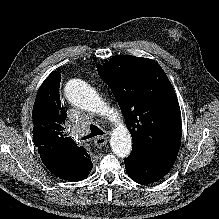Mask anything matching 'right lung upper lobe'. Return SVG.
<instances>
[{"instance_id":"obj_1","label":"right lung upper lobe","mask_w":219,"mask_h":219,"mask_svg":"<svg viewBox=\"0 0 219 219\" xmlns=\"http://www.w3.org/2000/svg\"><path fill=\"white\" fill-rule=\"evenodd\" d=\"M60 81L59 72L51 73L36 95L33 141L48 170L61 179L76 182L87 177L92 162L86 150L64 133L66 111L60 102Z\"/></svg>"}]
</instances>
